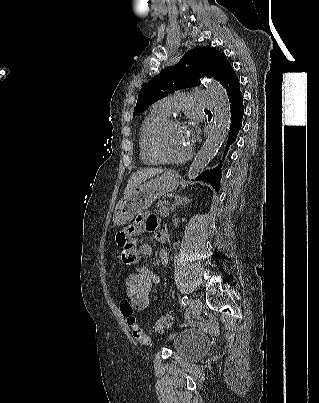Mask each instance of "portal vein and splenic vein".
<instances>
[{
  "label": "portal vein and splenic vein",
  "mask_w": 319,
  "mask_h": 403,
  "mask_svg": "<svg viewBox=\"0 0 319 403\" xmlns=\"http://www.w3.org/2000/svg\"><path fill=\"white\" fill-rule=\"evenodd\" d=\"M165 205H167V206L170 205V202H169V201H166V202H165Z\"/></svg>",
  "instance_id": "portal-vein-and-splenic-vein-1"
}]
</instances>
